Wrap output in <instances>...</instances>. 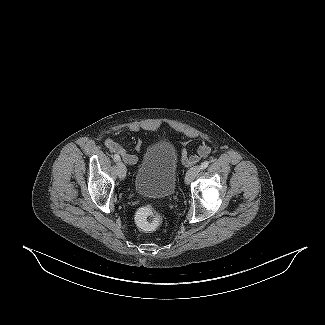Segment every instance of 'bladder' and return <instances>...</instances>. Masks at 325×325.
<instances>
[{
    "label": "bladder",
    "instance_id": "31cf9c89",
    "mask_svg": "<svg viewBox=\"0 0 325 325\" xmlns=\"http://www.w3.org/2000/svg\"><path fill=\"white\" fill-rule=\"evenodd\" d=\"M178 175V153L167 140L152 143L138 165L134 186L142 196L167 198L174 194Z\"/></svg>",
    "mask_w": 325,
    "mask_h": 325
}]
</instances>
